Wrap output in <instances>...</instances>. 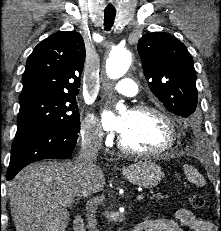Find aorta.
I'll list each match as a JSON object with an SVG mask.
<instances>
[{
    "mask_svg": "<svg viewBox=\"0 0 221 231\" xmlns=\"http://www.w3.org/2000/svg\"><path fill=\"white\" fill-rule=\"evenodd\" d=\"M131 52L125 48L113 49L106 60V73L110 79H119L128 70L131 64ZM118 104V107H121Z\"/></svg>",
    "mask_w": 221,
    "mask_h": 231,
    "instance_id": "aorta-1",
    "label": "aorta"
}]
</instances>
